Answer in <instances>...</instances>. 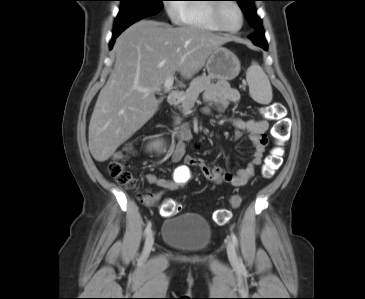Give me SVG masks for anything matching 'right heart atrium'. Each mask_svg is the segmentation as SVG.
<instances>
[{
    "instance_id": "d8ad5b80",
    "label": "right heart atrium",
    "mask_w": 365,
    "mask_h": 299,
    "mask_svg": "<svg viewBox=\"0 0 365 299\" xmlns=\"http://www.w3.org/2000/svg\"><path fill=\"white\" fill-rule=\"evenodd\" d=\"M168 2H174V1H168ZM166 9L169 17L176 19L178 13V7L176 6V4L175 3L167 4Z\"/></svg>"
}]
</instances>
